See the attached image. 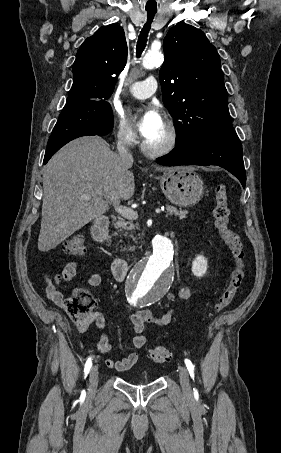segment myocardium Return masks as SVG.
Listing matches in <instances>:
<instances>
[{"label":"myocardium","mask_w":281,"mask_h":453,"mask_svg":"<svg viewBox=\"0 0 281 453\" xmlns=\"http://www.w3.org/2000/svg\"><path fill=\"white\" fill-rule=\"evenodd\" d=\"M168 132V142L161 147H153L149 145L145 138L140 142V149L143 154L149 157H162L171 153L178 142V131L173 123L168 120L163 122Z\"/></svg>","instance_id":"1"}]
</instances>
